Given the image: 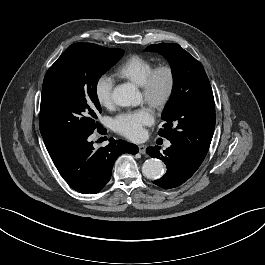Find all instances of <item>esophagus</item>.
<instances>
[{
	"mask_svg": "<svg viewBox=\"0 0 265 265\" xmlns=\"http://www.w3.org/2000/svg\"><path fill=\"white\" fill-rule=\"evenodd\" d=\"M138 148H139V153H141V154H145L146 153V149H147L146 145H143V144L139 145Z\"/></svg>",
	"mask_w": 265,
	"mask_h": 265,
	"instance_id": "obj_1",
	"label": "esophagus"
}]
</instances>
